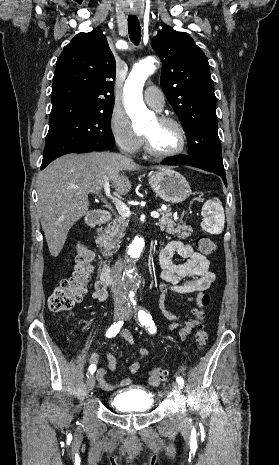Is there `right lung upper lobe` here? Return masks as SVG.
<instances>
[{
  "label": "right lung upper lobe",
  "instance_id": "1",
  "mask_svg": "<svg viewBox=\"0 0 279 465\" xmlns=\"http://www.w3.org/2000/svg\"><path fill=\"white\" fill-rule=\"evenodd\" d=\"M115 75L116 62L102 31L77 34L56 63L50 124L113 107Z\"/></svg>",
  "mask_w": 279,
  "mask_h": 465
}]
</instances>
